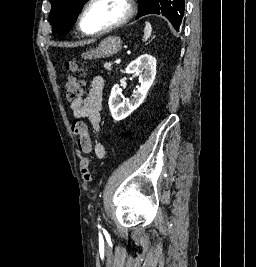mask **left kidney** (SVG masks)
<instances>
[{"label": "left kidney", "instance_id": "1", "mask_svg": "<svg viewBox=\"0 0 256 267\" xmlns=\"http://www.w3.org/2000/svg\"><path fill=\"white\" fill-rule=\"evenodd\" d=\"M156 64V58H153L150 54H143V56H139L137 60L128 64L125 72L126 74H138L140 88H137L130 98H124L119 84L113 86L108 106L111 116L116 122L127 118L144 102L146 94L155 80Z\"/></svg>", "mask_w": 256, "mask_h": 267}]
</instances>
